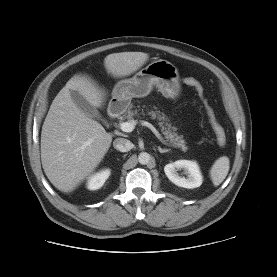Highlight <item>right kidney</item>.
<instances>
[{
    "mask_svg": "<svg viewBox=\"0 0 277 277\" xmlns=\"http://www.w3.org/2000/svg\"><path fill=\"white\" fill-rule=\"evenodd\" d=\"M109 176H110L109 169H105V170H102V171L94 174L93 176H91L89 178V180L87 182V188L89 190H97V189L101 188Z\"/></svg>",
    "mask_w": 277,
    "mask_h": 277,
    "instance_id": "right-kidney-1",
    "label": "right kidney"
}]
</instances>
